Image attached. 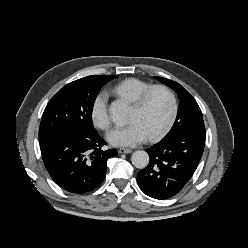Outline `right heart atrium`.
<instances>
[{
	"label": "right heart atrium",
	"mask_w": 248,
	"mask_h": 248,
	"mask_svg": "<svg viewBox=\"0 0 248 248\" xmlns=\"http://www.w3.org/2000/svg\"><path fill=\"white\" fill-rule=\"evenodd\" d=\"M91 118L95 126L107 130L111 126V116L108 109V95L100 92L91 106Z\"/></svg>",
	"instance_id": "obj_1"
}]
</instances>
